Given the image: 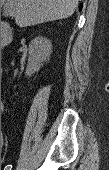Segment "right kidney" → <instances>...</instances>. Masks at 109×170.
I'll use <instances>...</instances> for the list:
<instances>
[{
  "label": "right kidney",
  "instance_id": "ca27d5eb",
  "mask_svg": "<svg viewBox=\"0 0 109 170\" xmlns=\"http://www.w3.org/2000/svg\"><path fill=\"white\" fill-rule=\"evenodd\" d=\"M51 41L44 37H36L29 44V58L26 74L31 75L38 72L42 63L49 59L51 54Z\"/></svg>",
  "mask_w": 109,
  "mask_h": 170
}]
</instances>
